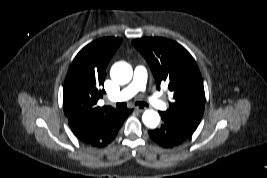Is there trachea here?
<instances>
[{
	"instance_id": "3493384b",
	"label": "trachea",
	"mask_w": 267,
	"mask_h": 178,
	"mask_svg": "<svg viewBox=\"0 0 267 178\" xmlns=\"http://www.w3.org/2000/svg\"><path fill=\"white\" fill-rule=\"evenodd\" d=\"M136 105H144V106H148L147 103H144V102H136ZM116 108H120V107H123L125 106V103H116Z\"/></svg>"
}]
</instances>
